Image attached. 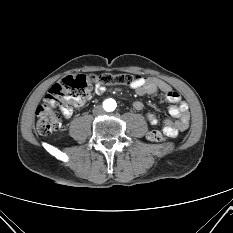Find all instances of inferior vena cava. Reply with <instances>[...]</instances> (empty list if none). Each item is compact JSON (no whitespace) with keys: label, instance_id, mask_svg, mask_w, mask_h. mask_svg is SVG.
I'll return each instance as SVG.
<instances>
[{"label":"inferior vena cava","instance_id":"obj_1","mask_svg":"<svg viewBox=\"0 0 233 233\" xmlns=\"http://www.w3.org/2000/svg\"><path fill=\"white\" fill-rule=\"evenodd\" d=\"M104 113V109L102 106L98 105L93 109L94 115H102Z\"/></svg>","mask_w":233,"mask_h":233}]
</instances>
